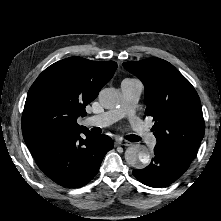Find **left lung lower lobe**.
<instances>
[{
    "mask_svg": "<svg viewBox=\"0 0 221 221\" xmlns=\"http://www.w3.org/2000/svg\"><path fill=\"white\" fill-rule=\"evenodd\" d=\"M190 163L155 146L154 157L144 169H136L133 175L150 187H162L173 183L188 169Z\"/></svg>",
    "mask_w": 221,
    "mask_h": 221,
    "instance_id": "left-lung-lower-lobe-1",
    "label": "left lung lower lobe"
}]
</instances>
